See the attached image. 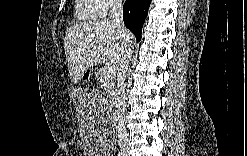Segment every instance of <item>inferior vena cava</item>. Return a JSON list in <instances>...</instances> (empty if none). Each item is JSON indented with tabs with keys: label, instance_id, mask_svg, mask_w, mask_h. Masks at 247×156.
Instances as JSON below:
<instances>
[{
	"label": "inferior vena cava",
	"instance_id": "1",
	"mask_svg": "<svg viewBox=\"0 0 247 156\" xmlns=\"http://www.w3.org/2000/svg\"><path fill=\"white\" fill-rule=\"evenodd\" d=\"M110 21L116 26L122 33L125 40V47L120 61V69L117 75V94H116V116L118 122V133L120 138L127 136L126 123V96H125V78L128 66L132 57V42L127 37L128 30L123 23V10L122 3L119 0H112L110 2L109 11Z\"/></svg>",
	"mask_w": 247,
	"mask_h": 156
}]
</instances>
